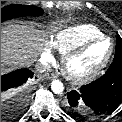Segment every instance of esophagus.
Here are the masks:
<instances>
[{
  "label": "esophagus",
  "mask_w": 122,
  "mask_h": 122,
  "mask_svg": "<svg viewBox=\"0 0 122 122\" xmlns=\"http://www.w3.org/2000/svg\"><path fill=\"white\" fill-rule=\"evenodd\" d=\"M45 77L48 80H52V79H55L56 78V75L54 73H48V74H46Z\"/></svg>",
  "instance_id": "34e87169"
}]
</instances>
